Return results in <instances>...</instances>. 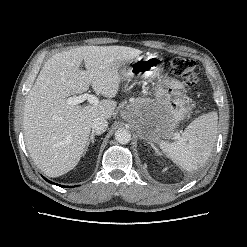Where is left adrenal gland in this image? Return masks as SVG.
<instances>
[{
	"mask_svg": "<svg viewBox=\"0 0 247 247\" xmlns=\"http://www.w3.org/2000/svg\"><path fill=\"white\" fill-rule=\"evenodd\" d=\"M150 144H151L152 148L155 150V152L158 153V150H157V148L155 147V145H154L152 142H151Z\"/></svg>",
	"mask_w": 247,
	"mask_h": 247,
	"instance_id": "left-adrenal-gland-1",
	"label": "left adrenal gland"
}]
</instances>
